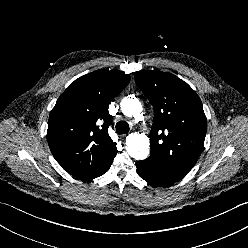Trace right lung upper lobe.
Segmentation results:
<instances>
[{"label":"right lung upper lobe","instance_id":"right-lung-upper-lobe-1","mask_svg":"<svg viewBox=\"0 0 248 248\" xmlns=\"http://www.w3.org/2000/svg\"><path fill=\"white\" fill-rule=\"evenodd\" d=\"M129 81L123 72L97 70L75 80L57 100L47 141L69 174L89 180L111 161L117 148L108 134V108Z\"/></svg>","mask_w":248,"mask_h":248}]
</instances>
